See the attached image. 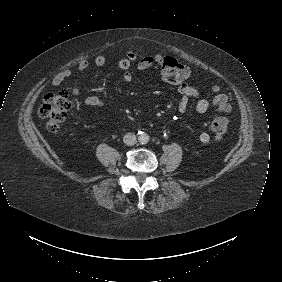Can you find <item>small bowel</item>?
Wrapping results in <instances>:
<instances>
[{"label":"small bowel","mask_w":282,"mask_h":282,"mask_svg":"<svg viewBox=\"0 0 282 282\" xmlns=\"http://www.w3.org/2000/svg\"><path fill=\"white\" fill-rule=\"evenodd\" d=\"M137 61V55L133 51H128L122 58L118 60V67L122 70V78L125 82H131L133 79V75L130 72L131 65ZM106 63V58L103 55H98L94 59V64L97 67H102ZM155 63V60L152 56H145L138 60L137 68L139 71H146L150 69ZM90 66L88 60H81L74 69H64L57 74L51 80V84L53 86H59L66 79L70 78L75 73H81L86 71ZM160 79L170 85L176 86L178 93L180 94V100L177 105V109L180 113L187 112L189 108V103L191 100H195V110L198 114H204L210 106V102L207 98L203 97L200 91L189 85L184 80H176L171 76L161 75ZM84 104L90 107H99L102 105V101L99 97L92 95L87 97L84 100ZM199 141L202 144H207L210 141V135L207 132H201L199 134Z\"/></svg>","instance_id":"small-bowel-1"}]
</instances>
